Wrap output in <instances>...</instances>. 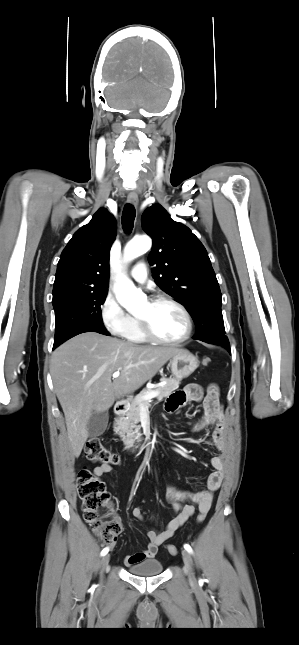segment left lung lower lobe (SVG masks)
I'll return each mask as SVG.
<instances>
[{
    "label": "left lung lower lobe",
    "mask_w": 299,
    "mask_h": 645,
    "mask_svg": "<svg viewBox=\"0 0 299 645\" xmlns=\"http://www.w3.org/2000/svg\"><path fill=\"white\" fill-rule=\"evenodd\" d=\"M208 343H209V342H208ZM211 343L219 344V345L223 346L224 348H226V349L230 352V345H229V341H228V338H227V337H226V338H222V339H220V340H214V341H213V342H211Z\"/></svg>",
    "instance_id": "0a47b994"
}]
</instances>
